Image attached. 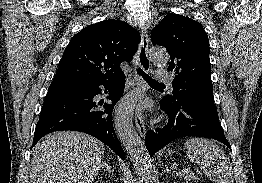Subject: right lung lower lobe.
<instances>
[{
    "label": "right lung lower lobe",
    "instance_id": "right-lung-lower-lobe-1",
    "mask_svg": "<svg viewBox=\"0 0 262 183\" xmlns=\"http://www.w3.org/2000/svg\"><path fill=\"white\" fill-rule=\"evenodd\" d=\"M101 86L108 90L107 98L112 101L111 104L96 100V96L101 94ZM124 87L125 75L115 80L50 87L35 128L32 147L48 133L74 130L94 136L125 159L112 123V110L121 98Z\"/></svg>",
    "mask_w": 262,
    "mask_h": 183
}]
</instances>
